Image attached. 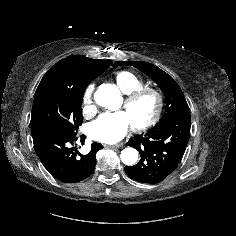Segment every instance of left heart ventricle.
Instances as JSON below:
<instances>
[{
    "label": "left heart ventricle",
    "mask_w": 236,
    "mask_h": 236,
    "mask_svg": "<svg viewBox=\"0 0 236 236\" xmlns=\"http://www.w3.org/2000/svg\"><path fill=\"white\" fill-rule=\"evenodd\" d=\"M156 102L151 95H146L128 107L122 105L131 124H140L147 121L155 110Z\"/></svg>",
    "instance_id": "1"
}]
</instances>
